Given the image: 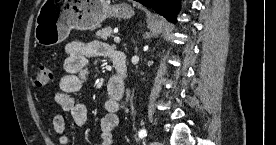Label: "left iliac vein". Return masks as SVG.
Listing matches in <instances>:
<instances>
[{
	"instance_id": "1",
	"label": "left iliac vein",
	"mask_w": 276,
	"mask_h": 145,
	"mask_svg": "<svg viewBox=\"0 0 276 145\" xmlns=\"http://www.w3.org/2000/svg\"><path fill=\"white\" fill-rule=\"evenodd\" d=\"M151 145H160V143L157 142V141H153V142L151 143Z\"/></svg>"
}]
</instances>
